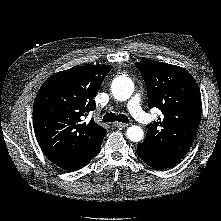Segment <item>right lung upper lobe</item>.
I'll list each match as a JSON object with an SVG mask.
<instances>
[{
  "mask_svg": "<svg viewBox=\"0 0 221 221\" xmlns=\"http://www.w3.org/2000/svg\"><path fill=\"white\" fill-rule=\"evenodd\" d=\"M112 66H77L49 77L33 107L37 141L47 157H81L98 147L106 130L87 113L96 108L93 98Z\"/></svg>",
  "mask_w": 221,
  "mask_h": 221,
  "instance_id": "1",
  "label": "right lung upper lobe"
}]
</instances>
